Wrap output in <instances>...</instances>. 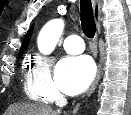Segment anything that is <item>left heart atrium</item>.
Masks as SVG:
<instances>
[{"label":"left heart atrium","mask_w":131,"mask_h":115,"mask_svg":"<svg viewBox=\"0 0 131 115\" xmlns=\"http://www.w3.org/2000/svg\"><path fill=\"white\" fill-rule=\"evenodd\" d=\"M94 76V65L86 56L64 57L57 65L55 81L57 86L68 95L84 91Z\"/></svg>","instance_id":"left-heart-atrium-1"}]
</instances>
